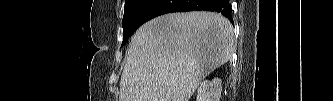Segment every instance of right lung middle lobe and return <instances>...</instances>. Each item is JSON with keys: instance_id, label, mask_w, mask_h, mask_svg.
<instances>
[{"instance_id": "right-lung-middle-lobe-1", "label": "right lung middle lobe", "mask_w": 333, "mask_h": 101, "mask_svg": "<svg viewBox=\"0 0 333 101\" xmlns=\"http://www.w3.org/2000/svg\"><path fill=\"white\" fill-rule=\"evenodd\" d=\"M147 0H125V9L123 16V43L122 46L128 41L129 37L136 31L134 27L135 19Z\"/></svg>"}]
</instances>
